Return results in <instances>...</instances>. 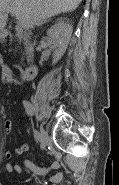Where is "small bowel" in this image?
<instances>
[{
	"instance_id": "obj_1",
	"label": "small bowel",
	"mask_w": 119,
	"mask_h": 185,
	"mask_svg": "<svg viewBox=\"0 0 119 185\" xmlns=\"http://www.w3.org/2000/svg\"><path fill=\"white\" fill-rule=\"evenodd\" d=\"M0 78H1V82L5 84H11V83L18 84L19 83V81L14 77L12 69L6 64H1ZM12 129H13L12 121L9 119H6L3 123L4 133L10 134L12 132ZM15 152L17 154L23 155L29 152V147L27 144H21L15 149ZM11 157H12L11 152L6 151L4 153L5 169L9 173L19 174L22 171H25L29 174L41 175L44 177L48 175L52 170H56L60 167L59 162H55L50 167H48L42 163H40L39 165L33 164L27 158L22 159L21 166H20L17 164H12ZM63 178H64L63 172H57L56 174L52 176L51 181L54 184H58L63 180Z\"/></svg>"
}]
</instances>
